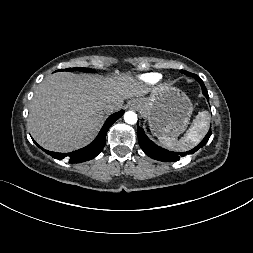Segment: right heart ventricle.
I'll return each mask as SVG.
<instances>
[{
	"label": "right heart ventricle",
	"instance_id": "1",
	"mask_svg": "<svg viewBox=\"0 0 253 253\" xmlns=\"http://www.w3.org/2000/svg\"><path fill=\"white\" fill-rule=\"evenodd\" d=\"M161 74L159 73H148L141 76V81L145 84L152 85L157 83L161 79Z\"/></svg>",
	"mask_w": 253,
	"mask_h": 253
}]
</instances>
